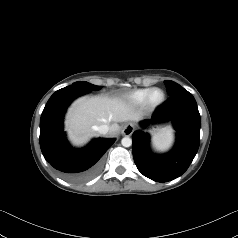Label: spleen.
<instances>
[{
	"label": "spleen",
	"mask_w": 238,
	"mask_h": 238,
	"mask_svg": "<svg viewBox=\"0 0 238 238\" xmlns=\"http://www.w3.org/2000/svg\"><path fill=\"white\" fill-rule=\"evenodd\" d=\"M174 141L173 130L170 127L164 128L162 132L153 140L154 147L159 151L167 150Z\"/></svg>",
	"instance_id": "obj_1"
}]
</instances>
